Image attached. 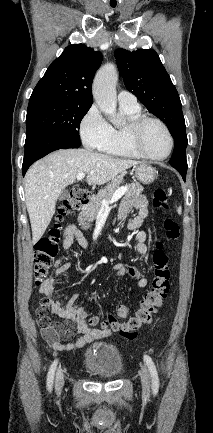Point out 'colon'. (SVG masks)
Segmentation results:
<instances>
[{"instance_id": "5ec220e1", "label": "colon", "mask_w": 213, "mask_h": 433, "mask_svg": "<svg viewBox=\"0 0 213 433\" xmlns=\"http://www.w3.org/2000/svg\"><path fill=\"white\" fill-rule=\"evenodd\" d=\"M89 197V193L83 189H72L61 208V215L67 212L79 209L83 202ZM153 204L164 214L170 210L167 199V193L163 189H156L153 196ZM163 228L166 237L169 240H177L180 236V226L172 218H165ZM60 236L59 226L53 227L48 236L41 238L35 245V274L36 283H40V278L45 275L48 268L52 265L55 256L58 253V240ZM153 279L150 291L144 296L140 307L133 317L126 322H119L115 316L109 315L105 320L97 317H90L84 311L79 310L78 315L90 326H99L102 329H110L113 332L132 339L136 337L138 330L143 326H149L153 323L154 315L163 305L164 300L169 292V257L163 249V243L160 240L155 242V250L152 254ZM128 309L124 305L117 307L116 316L120 319L127 316ZM39 324L42 329L54 328L61 336L68 337L72 334V326H65L63 323L54 321L49 315L47 304L43 300L37 309Z\"/></svg>"}]
</instances>
